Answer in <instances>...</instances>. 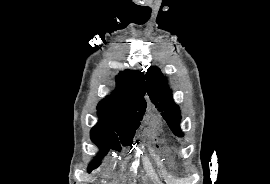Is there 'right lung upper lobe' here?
I'll return each instance as SVG.
<instances>
[{"label": "right lung upper lobe", "mask_w": 270, "mask_h": 184, "mask_svg": "<svg viewBox=\"0 0 270 184\" xmlns=\"http://www.w3.org/2000/svg\"><path fill=\"white\" fill-rule=\"evenodd\" d=\"M144 75L125 70L116 77L117 88L98 104L100 123L131 124L140 121L146 101Z\"/></svg>", "instance_id": "obj_1"}]
</instances>
